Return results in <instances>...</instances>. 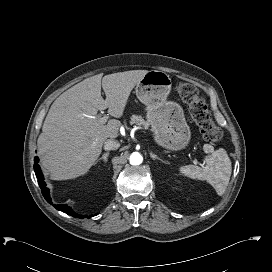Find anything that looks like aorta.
Returning <instances> with one entry per match:
<instances>
[{"mask_svg":"<svg viewBox=\"0 0 272 272\" xmlns=\"http://www.w3.org/2000/svg\"><path fill=\"white\" fill-rule=\"evenodd\" d=\"M131 165H140L143 162V157L138 152H133L129 158Z\"/></svg>","mask_w":272,"mask_h":272,"instance_id":"1","label":"aorta"}]
</instances>
